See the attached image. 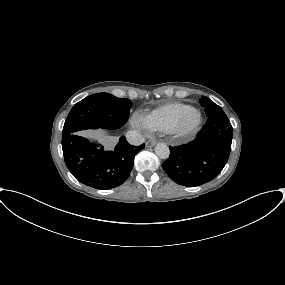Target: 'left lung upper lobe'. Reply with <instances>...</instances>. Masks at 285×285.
Masks as SVG:
<instances>
[{
    "label": "left lung upper lobe",
    "mask_w": 285,
    "mask_h": 285,
    "mask_svg": "<svg viewBox=\"0 0 285 285\" xmlns=\"http://www.w3.org/2000/svg\"><path fill=\"white\" fill-rule=\"evenodd\" d=\"M200 104L204 107L205 113L207 117H211L213 115L225 114L220 106L215 104L208 97L202 96L200 99Z\"/></svg>",
    "instance_id": "1"
}]
</instances>
